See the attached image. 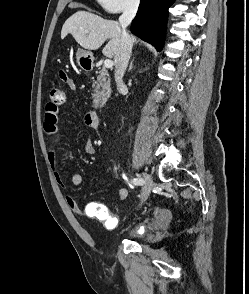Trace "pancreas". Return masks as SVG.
Returning a JSON list of instances; mask_svg holds the SVG:
<instances>
[{
    "label": "pancreas",
    "mask_w": 249,
    "mask_h": 294,
    "mask_svg": "<svg viewBox=\"0 0 249 294\" xmlns=\"http://www.w3.org/2000/svg\"><path fill=\"white\" fill-rule=\"evenodd\" d=\"M108 77V71L102 68L96 80L93 82L94 90L92 98L94 108H98L99 106L102 107L111 95V85Z\"/></svg>",
    "instance_id": "pancreas-1"
}]
</instances>
